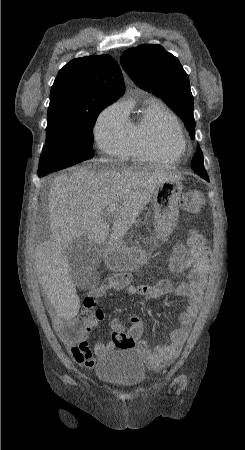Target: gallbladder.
Segmentation results:
<instances>
[{"label":"gallbladder","mask_w":245,"mask_h":450,"mask_svg":"<svg viewBox=\"0 0 245 450\" xmlns=\"http://www.w3.org/2000/svg\"><path fill=\"white\" fill-rule=\"evenodd\" d=\"M70 262L71 275L78 283L81 274L94 271L101 263L102 249L86 237L73 240L66 250Z\"/></svg>","instance_id":"bac80fb5"}]
</instances>
